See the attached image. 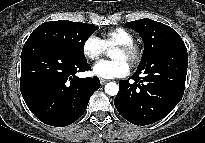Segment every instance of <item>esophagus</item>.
<instances>
[{"label":"esophagus","mask_w":205,"mask_h":143,"mask_svg":"<svg viewBox=\"0 0 205 143\" xmlns=\"http://www.w3.org/2000/svg\"><path fill=\"white\" fill-rule=\"evenodd\" d=\"M107 82H108V80L100 79V83H101V85H104V84H106Z\"/></svg>","instance_id":"34e87169"}]
</instances>
